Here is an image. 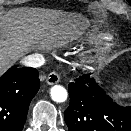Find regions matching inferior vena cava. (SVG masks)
<instances>
[{"label": "inferior vena cava", "mask_w": 131, "mask_h": 131, "mask_svg": "<svg viewBox=\"0 0 131 131\" xmlns=\"http://www.w3.org/2000/svg\"><path fill=\"white\" fill-rule=\"evenodd\" d=\"M46 60L42 54L35 53L24 57L21 63L27 67L38 68L45 64Z\"/></svg>", "instance_id": "obj_1"}]
</instances>
